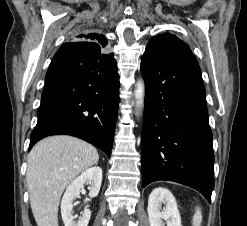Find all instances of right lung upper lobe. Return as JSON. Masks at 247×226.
<instances>
[{"mask_svg":"<svg viewBox=\"0 0 247 226\" xmlns=\"http://www.w3.org/2000/svg\"><path fill=\"white\" fill-rule=\"evenodd\" d=\"M77 41H84L88 43H94L101 45L102 47L106 48L107 46V39L103 34L97 32H83L76 36Z\"/></svg>","mask_w":247,"mask_h":226,"instance_id":"obj_1","label":"right lung upper lobe"}]
</instances>
